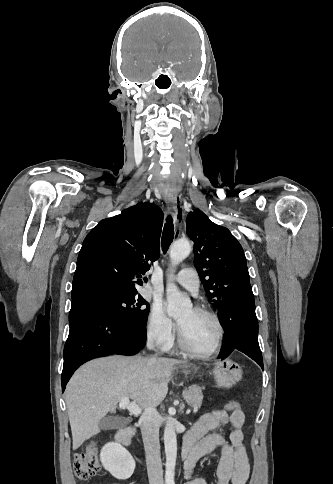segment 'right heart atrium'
<instances>
[{
    "mask_svg": "<svg viewBox=\"0 0 333 484\" xmlns=\"http://www.w3.org/2000/svg\"><path fill=\"white\" fill-rule=\"evenodd\" d=\"M175 332V323L165 313L163 307L158 304L153 305L146 322L148 340L158 348L168 350L174 343Z\"/></svg>",
    "mask_w": 333,
    "mask_h": 484,
    "instance_id": "1",
    "label": "right heart atrium"
}]
</instances>
